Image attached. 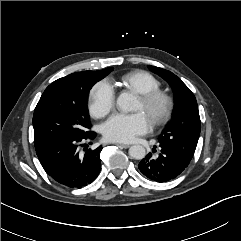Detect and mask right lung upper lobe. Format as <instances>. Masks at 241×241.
Listing matches in <instances>:
<instances>
[{"mask_svg":"<svg viewBox=\"0 0 241 241\" xmlns=\"http://www.w3.org/2000/svg\"><path fill=\"white\" fill-rule=\"evenodd\" d=\"M88 72L93 73V74H97V75H104V74L110 73V68L100 70V71H88Z\"/></svg>","mask_w":241,"mask_h":241,"instance_id":"obj_1","label":"right lung upper lobe"}]
</instances>
